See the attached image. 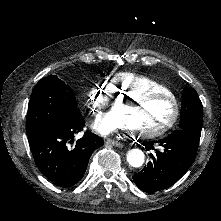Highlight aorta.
Returning a JSON list of instances; mask_svg holds the SVG:
<instances>
[{"label":"aorta","mask_w":221,"mask_h":221,"mask_svg":"<svg viewBox=\"0 0 221 221\" xmlns=\"http://www.w3.org/2000/svg\"><path fill=\"white\" fill-rule=\"evenodd\" d=\"M145 161V155L140 149H130L127 153V162L130 166L138 168L143 165Z\"/></svg>","instance_id":"obj_1"}]
</instances>
